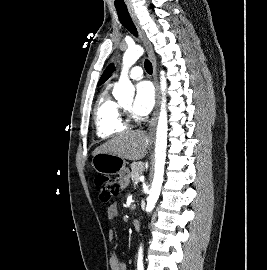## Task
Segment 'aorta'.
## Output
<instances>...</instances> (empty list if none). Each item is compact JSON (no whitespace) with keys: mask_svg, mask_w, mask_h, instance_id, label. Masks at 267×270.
Returning a JSON list of instances; mask_svg holds the SVG:
<instances>
[{"mask_svg":"<svg viewBox=\"0 0 267 270\" xmlns=\"http://www.w3.org/2000/svg\"><path fill=\"white\" fill-rule=\"evenodd\" d=\"M144 50L141 46L135 45L128 47L123 56V68L118 83L114 86L113 95L118 100L130 99L134 96V86L128 78L129 68L143 55ZM160 86L162 92V102L159 113V120L156 131V147H155V172L149 196L147 198L146 211L152 212L154 209L162 187L164 165L167 148V110L165 91L167 88L164 71L161 72ZM139 261L142 260V248L139 249Z\"/></svg>","mask_w":267,"mask_h":270,"instance_id":"762f6f07","label":"aorta"}]
</instances>
